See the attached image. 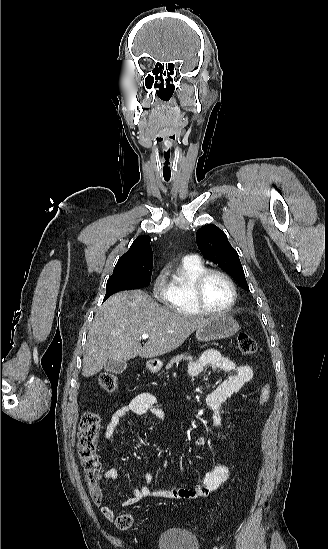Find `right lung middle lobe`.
I'll return each instance as SVG.
<instances>
[{
    "instance_id": "dd1d6c3e",
    "label": "right lung middle lobe",
    "mask_w": 328,
    "mask_h": 549,
    "mask_svg": "<svg viewBox=\"0 0 328 549\" xmlns=\"http://www.w3.org/2000/svg\"><path fill=\"white\" fill-rule=\"evenodd\" d=\"M152 267L153 260H147L113 271L107 281L104 300L118 291L136 289L150 284Z\"/></svg>"
}]
</instances>
